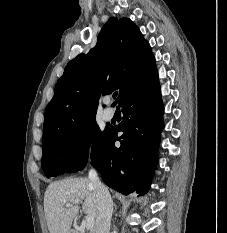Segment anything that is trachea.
Here are the masks:
<instances>
[{"instance_id":"1","label":"trachea","mask_w":227,"mask_h":233,"mask_svg":"<svg viewBox=\"0 0 227 233\" xmlns=\"http://www.w3.org/2000/svg\"><path fill=\"white\" fill-rule=\"evenodd\" d=\"M117 94H118V92H115V93L113 94V98H116Z\"/></svg>"}]
</instances>
